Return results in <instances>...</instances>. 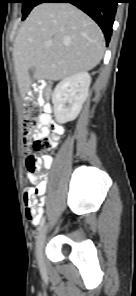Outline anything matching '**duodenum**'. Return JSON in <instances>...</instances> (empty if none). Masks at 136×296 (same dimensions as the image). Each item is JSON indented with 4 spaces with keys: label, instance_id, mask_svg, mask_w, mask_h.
<instances>
[{
    "label": "duodenum",
    "instance_id": "obj_1",
    "mask_svg": "<svg viewBox=\"0 0 136 296\" xmlns=\"http://www.w3.org/2000/svg\"><path fill=\"white\" fill-rule=\"evenodd\" d=\"M48 88H49V83H40L35 87L34 92L41 94L46 92Z\"/></svg>",
    "mask_w": 136,
    "mask_h": 296
}]
</instances>
